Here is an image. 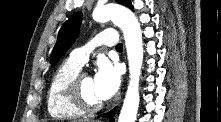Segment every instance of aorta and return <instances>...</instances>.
Masks as SVG:
<instances>
[{
  "label": "aorta",
  "instance_id": "obj_1",
  "mask_svg": "<svg viewBox=\"0 0 221 122\" xmlns=\"http://www.w3.org/2000/svg\"><path fill=\"white\" fill-rule=\"evenodd\" d=\"M97 22L111 20L123 31L129 63L130 80L118 122H135L139 107V78L143 62L140 24L131 10L118 4L97 6L93 11Z\"/></svg>",
  "mask_w": 221,
  "mask_h": 122
}]
</instances>
